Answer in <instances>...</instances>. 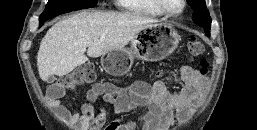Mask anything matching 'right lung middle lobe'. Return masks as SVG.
I'll return each mask as SVG.
<instances>
[{
	"label": "right lung middle lobe",
	"instance_id": "dd1d6c3e",
	"mask_svg": "<svg viewBox=\"0 0 257 130\" xmlns=\"http://www.w3.org/2000/svg\"><path fill=\"white\" fill-rule=\"evenodd\" d=\"M97 0H49L44 12L40 15V26L56 15L69 12L72 10L90 8L95 5Z\"/></svg>",
	"mask_w": 257,
	"mask_h": 130
}]
</instances>
